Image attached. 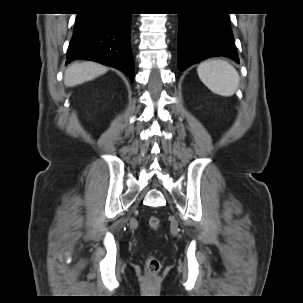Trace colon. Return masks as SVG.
I'll return each mask as SVG.
<instances>
[{
  "mask_svg": "<svg viewBox=\"0 0 303 303\" xmlns=\"http://www.w3.org/2000/svg\"><path fill=\"white\" fill-rule=\"evenodd\" d=\"M149 226L152 229H158L160 227V220L157 217H151L149 219ZM145 269L149 276H155L160 271V262L154 255H149L145 262Z\"/></svg>",
  "mask_w": 303,
  "mask_h": 303,
  "instance_id": "colon-1",
  "label": "colon"
}]
</instances>
